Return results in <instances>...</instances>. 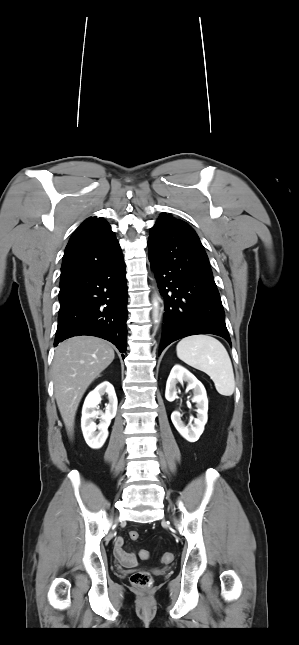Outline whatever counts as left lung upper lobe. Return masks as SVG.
Masks as SVG:
<instances>
[{
  "instance_id": "obj_1",
  "label": "left lung upper lobe",
  "mask_w": 299,
  "mask_h": 645,
  "mask_svg": "<svg viewBox=\"0 0 299 645\" xmlns=\"http://www.w3.org/2000/svg\"><path fill=\"white\" fill-rule=\"evenodd\" d=\"M173 219H176V218L172 217V216H171V215H169V214L162 213V214L160 215V217L158 218V220H157V222H156V224H155V225L163 224V223H165V222H167V221H170V220H173Z\"/></svg>"
}]
</instances>
